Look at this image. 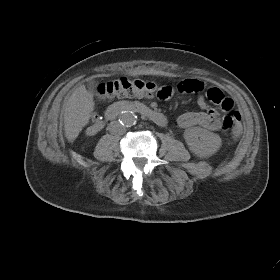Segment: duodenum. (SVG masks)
Listing matches in <instances>:
<instances>
[{
	"label": "duodenum",
	"instance_id": "duodenum-1",
	"mask_svg": "<svg viewBox=\"0 0 280 280\" xmlns=\"http://www.w3.org/2000/svg\"><path fill=\"white\" fill-rule=\"evenodd\" d=\"M126 111L139 113L159 126H165L167 124V118L164 114L139 102H121L111 105L105 111V117L108 120H113Z\"/></svg>",
	"mask_w": 280,
	"mask_h": 280
}]
</instances>
